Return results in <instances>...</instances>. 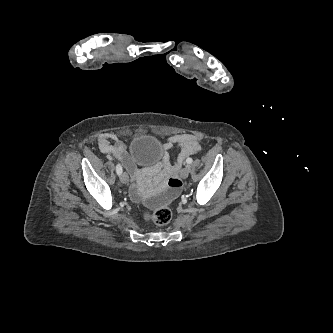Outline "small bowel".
<instances>
[{"label":"small bowel","instance_id":"c3829d8e","mask_svg":"<svg viewBox=\"0 0 333 333\" xmlns=\"http://www.w3.org/2000/svg\"><path fill=\"white\" fill-rule=\"evenodd\" d=\"M98 146L102 153L106 154L109 158L113 157L117 159L124 165L132 181L130 196L137 202L147 200L145 183H149L151 173L157 171H160V181L164 183L169 182L170 190L167 198L175 196L181 186V182L177 176L185 160L190 155L201 150L199 139L194 134L183 133L169 136L163 143L164 153L162 159L154 166L152 172H147L136 166L127 155L125 144L115 134H101L98 138ZM175 146L179 147L180 151L177 158L171 161L167 151Z\"/></svg>","mask_w":333,"mask_h":333}]
</instances>
